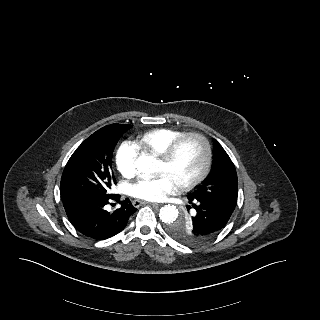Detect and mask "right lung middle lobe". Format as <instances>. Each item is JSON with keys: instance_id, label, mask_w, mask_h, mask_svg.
<instances>
[{"instance_id": "dd1d6c3e", "label": "right lung middle lobe", "mask_w": 320, "mask_h": 320, "mask_svg": "<svg viewBox=\"0 0 320 320\" xmlns=\"http://www.w3.org/2000/svg\"><path fill=\"white\" fill-rule=\"evenodd\" d=\"M127 124L105 126L88 137L67 162L60 184L64 197H109L108 189L116 183L111 170L114 148L131 128Z\"/></svg>"}]
</instances>
